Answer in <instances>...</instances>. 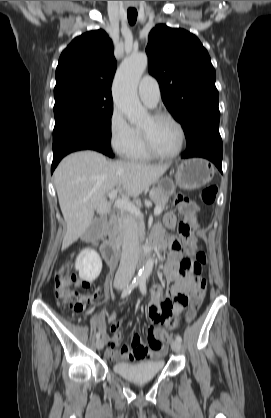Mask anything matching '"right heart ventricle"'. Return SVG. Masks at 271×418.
Wrapping results in <instances>:
<instances>
[{"instance_id":"e07e8e85","label":"right heart ventricle","mask_w":271,"mask_h":418,"mask_svg":"<svg viewBox=\"0 0 271 418\" xmlns=\"http://www.w3.org/2000/svg\"><path fill=\"white\" fill-rule=\"evenodd\" d=\"M135 136H134V142L128 152L126 153L125 157L130 160H149L151 159V156L148 154V152L145 149L141 130L139 128H134Z\"/></svg>"}]
</instances>
